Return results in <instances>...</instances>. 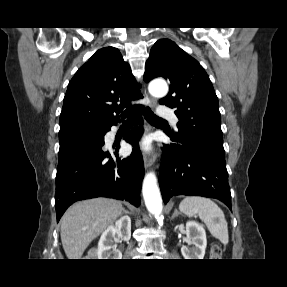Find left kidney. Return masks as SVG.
Instances as JSON below:
<instances>
[{
	"instance_id": "1",
	"label": "left kidney",
	"mask_w": 287,
	"mask_h": 287,
	"mask_svg": "<svg viewBox=\"0 0 287 287\" xmlns=\"http://www.w3.org/2000/svg\"><path fill=\"white\" fill-rule=\"evenodd\" d=\"M187 241L192 245V248L183 246L181 253L184 259H203L205 255V249L207 246L206 233L200 224L194 221H188L186 223Z\"/></svg>"
}]
</instances>
